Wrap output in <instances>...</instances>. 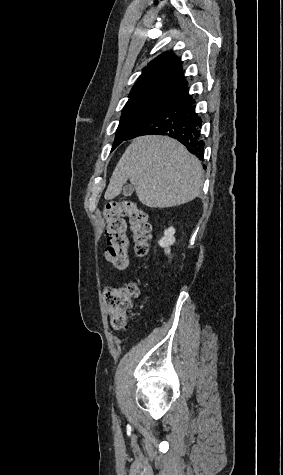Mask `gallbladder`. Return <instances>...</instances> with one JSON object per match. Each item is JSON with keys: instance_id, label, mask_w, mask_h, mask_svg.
Wrapping results in <instances>:
<instances>
[{"instance_id": "1", "label": "gallbladder", "mask_w": 283, "mask_h": 475, "mask_svg": "<svg viewBox=\"0 0 283 475\" xmlns=\"http://www.w3.org/2000/svg\"><path fill=\"white\" fill-rule=\"evenodd\" d=\"M134 188L132 184H128V186H124L123 188V196H131L133 194Z\"/></svg>"}]
</instances>
